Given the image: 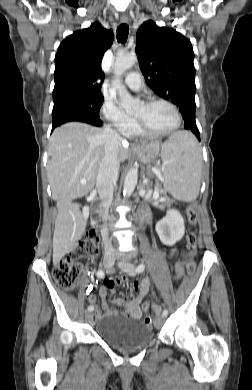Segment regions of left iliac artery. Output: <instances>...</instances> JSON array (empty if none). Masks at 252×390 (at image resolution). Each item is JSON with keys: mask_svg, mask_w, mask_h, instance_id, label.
I'll return each mask as SVG.
<instances>
[{"mask_svg": "<svg viewBox=\"0 0 252 390\" xmlns=\"http://www.w3.org/2000/svg\"><path fill=\"white\" fill-rule=\"evenodd\" d=\"M144 269H145V265L142 263V264H139L138 265V267L136 268V272L137 273H141V272H143L144 271ZM168 314V311L167 310H164L163 311V315H167Z\"/></svg>", "mask_w": 252, "mask_h": 390, "instance_id": "left-iliac-artery-1", "label": "left iliac artery"}]
</instances>
